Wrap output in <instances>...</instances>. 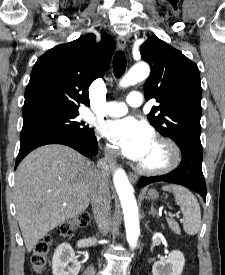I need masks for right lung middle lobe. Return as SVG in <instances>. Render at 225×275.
<instances>
[{
  "instance_id": "dd1d6c3e",
  "label": "right lung middle lobe",
  "mask_w": 225,
  "mask_h": 275,
  "mask_svg": "<svg viewBox=\"0 0 225 275\" xmlns=\"http://www.w3.org/2000/svg\"><path fill=\"white\" fill-rule=\"evenodd\" d=\"M78 110L47 111L23 116V128L29 126H47L57 128L79 137L94 136V131L83 121H78Z\"/></svg>"
}]
</instances>
